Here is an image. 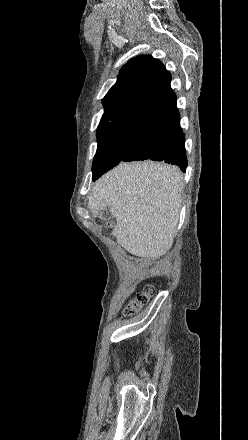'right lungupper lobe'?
Instances as JSON below:
<instances>
[{"mask_svg":"<svg viewBox=\"0 0 248 440\" xmlns=\"http://www.w3.org/2000/svg\"><path fill=\"white\" fill-rule=\"evenodd\" d=\"M171 75L150 55L131 59L103 99L105 113L98 126V143L121 131H131L144 120L174 104Z\"/></svg>","mask_w":248,"mask_h":440,"instance_id":"obj_1","label":"right lung upper lobe"}]
</instances>
